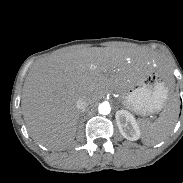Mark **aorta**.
<instances>
[{
  "label": "aorta",
  "instance_id": "aorta-1",
  "mask_svg": "<svg viewBox=\"0 0 183 183\" xmlns=\"http://www.w3.org/2000/svg\"><path fill=\"white\" fill-rule=\"evenodd\" d=\"M98 111L102 115H107L111 111V107L108 102H103L98 106Z\"/></svg>",
  "mask_w": 183,
  "mask_h": 183
}]
</instances>
